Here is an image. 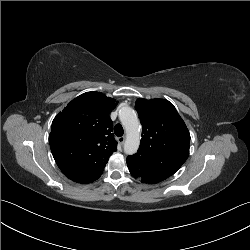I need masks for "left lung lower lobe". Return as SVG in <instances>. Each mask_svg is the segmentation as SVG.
Masks as SVG:
<instances>
[{
	"mask_svg": "<svg viewBox=\"0 0 250 250\" xmlns=\"http://www.w3.org/2000/svg\"><path fill=\"white\" fill-rule=\"evenodd\" d=\"M131 175L143 183L154 184L165 180L176 171L155 165L147 156L134 154L127 158Z\"/></svg>",
	"mask_w": 250,
	"mask_h": 250,
	"instance_id": "1",
	"label": "left lung lower lobe"
}]
</instances>
